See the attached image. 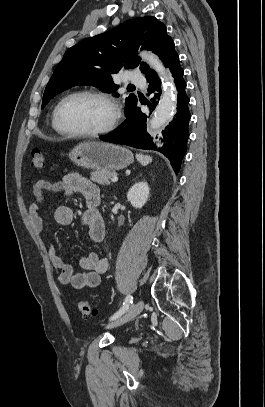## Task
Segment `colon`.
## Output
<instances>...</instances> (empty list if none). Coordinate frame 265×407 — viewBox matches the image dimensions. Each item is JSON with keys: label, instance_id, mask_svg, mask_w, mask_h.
<instances>
[{"label": "colon", "instance_id": "5ec220e1", "mask_svg": "<svg viewBox=\"0 0 265 407\" xmlns=\"http://www.w3.org/2000/svg\"><path fill=\"white\" fill-rule=\"evenodd\" d=\"M45 166L43 153L39 149L32 151L31 155V168L35 171L42 170ZM77 308L84 318H91L96 315V310H94L91 304L85 300L77 301Z\"/></svg>", "mask_w": 265, "mask_h": 407}]
</instances>
